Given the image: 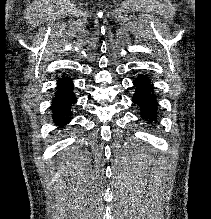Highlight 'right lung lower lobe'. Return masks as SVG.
<instances>
[{"instance_id": "1", "label": "right lung lower lobe", "mask_w": 211, "mask_h": 219, "mask_svg": "<svg viewBox=\"0 0 211 219\" xmlns=\"http://www.w3.org/2000/svg\"><path fill=\"white\" fill-rule=\"evenodd\" d=\"M57 91L52 100L53 121L62 127L72 118L71 107L75 104L76 97L73 93V82L63 76L57 81Z\"/></svg>"}]
</instances>
